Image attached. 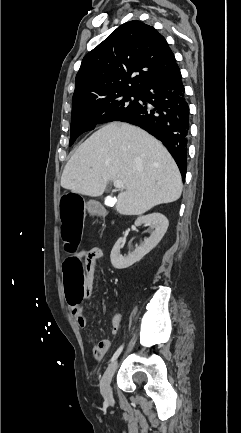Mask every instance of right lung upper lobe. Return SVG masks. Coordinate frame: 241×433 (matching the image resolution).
I'll return each mask as SVG.
<instances>
[{"label": "right lung upper lobe", "instance_id": "cb5924a9", "mask_svg": "<svg viewBox=\"0 0 241 433\" xmlns=\"http://www.w3.org/2000/svg\"><path fill=\"white\" fill-rule=\"evenodd\" d=\"M175 64L173 52L156 29L137 20L127 22L83 58L72 105L139 91Z\"/></svg>", "mask_w": 241, "mask_h": 433}]
</instances>
